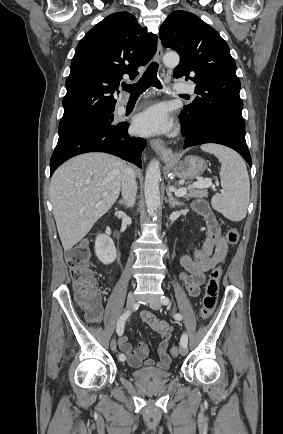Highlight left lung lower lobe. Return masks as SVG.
Instances as JSON below:
<instances>
[{
    "label": "left lung lower lobe",
    "instance_id": "left-lung-lower-lobe-1",
    "mask_svg": "<svg viewBox=\"0 0 283 434\" xmlns=\"http://www.w3.org/2000/svg\"><path fill=\"white\" fill-rule=\"evenodd\" d=\"M181 124L182 135L185 137L184 149L206 143L221 144L237 151L249 166H252L251 156L245 140V128L230 122L216 121L189 133L184 128L182 121Z\"/></svg>",
    "mask_w": 283,
    "mask_h": 434
}]
</instances>
